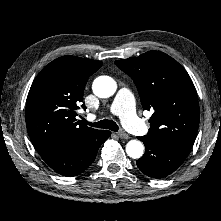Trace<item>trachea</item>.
<instances>
[{
	"label": "trachea",
	"instance_id": "1",
	"mask_svg": "<svg viewBox=\"0 0 221 221\" xmlns=\"http://www.w3.org/2000/svg\"><path fill=\"white\" fill-rule=\"evenodd\" d=\"M83 122L92 127L110 129L115 132H117L119 129L118 125L113 120L109 119H104L95 123L88 122L87 120L84 119Z\"/></svg>",
	"mask_w": 221,
	"mask_h": 221
}]
</instances>
